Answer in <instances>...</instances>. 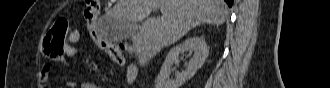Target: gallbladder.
I'll return each instance as SVG.
<instances>
[{"label":"gallbladder","instance_id":"bac80fb5","mask_svg":"<svg viewBox=\"0 0 330 88\" xmlns=\"http://www.w3.org/2000/svg\"><path fill=\"white\" fill-rule=\"evenodd\" d=\"M138 24L126 21H104L102 23V36L108 42L126 40L137 32Z\"/></svg>","mask_w":330,"mask_h":88}]
</instances>
